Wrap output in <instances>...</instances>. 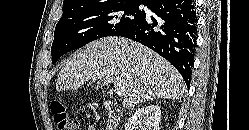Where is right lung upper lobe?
<instances>
[{"mask_svg":"<svg viewBox=\"0 0 249 130\" xmlns=\"http://www.w3.org/2000/svg\"><path fill=\"white\" fill-rule=\"evenodd\" d=\"M107 1H113V0H64L63 13L68 11L79 10L87 6L104 3ZM134 1H141L150 5L154 0H134Z\"/></svg>","mask_w":249,"mask_h":130,"instance_id":"right-lung-upper-lobe-1","label":"right lung upper lobe"}]
</instances>
